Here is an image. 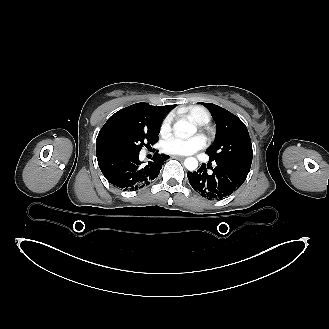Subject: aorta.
Masks as SVG:
<instances>
[{"label": "aorta", "instance_id": "aorta-1", "mask_svg": "<svg viewBox=\"0 0 329 329\" xmlns=\"http://www.w3.org/2000/svg\"><path fill=\"white\" fill-rule=\"evenodd\" d=\"M174 131L179 136L190 137L196 133L197 128L186 120H179L174 124ZM184 166L189 171H195L198 167V160L188 157L184 161Z\"/></svg>", "mask_w": 329, "mask_h": 329}]
</instances>
